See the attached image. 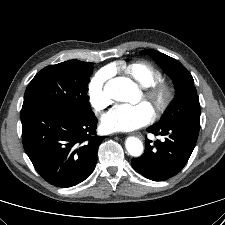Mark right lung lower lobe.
<instances>
[{"label": "right lung lower lobe", "instance_id": "right-lung-lower-lobe-1", "mask_svg": "<svg viewBox=\"0 0 225 225\" xmlns=\"http://www.w3.org/2000/svg\"><path fill=\"white\" fill-rule=\"evenodd\" d=\"M20 117L25 152L43 179L71 187L91 175L105 138L96 136L95 115L83 118L59 107L30 105L22 107Z\"/></svg>", "mask_w": 225, "mask_h": 225}]
</instances>
